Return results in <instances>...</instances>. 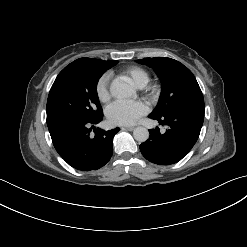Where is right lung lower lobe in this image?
I'll return each instance as SVG.
<instances>
[{
    "instance_id": "98d812e1",
    "label": "right lung lower lobe",
    "mask_w": 247,
    "mask_h": 247,
    "mask_svg": "<svg viewBox=\"0 0 247 247\" xmlns=\"http://www.w3.org/2000/svg\"><path fill=\"white\" fill-rule=\"evenodd\" d=\"M102 118L101 114L89 120L67 119L48 127L56 151L73 168L81 171L97 170L110 160L113 137L120 129H95L94 125ZM92 129L94 135L90 133Z\"/></svg>"
}]
</instances>
